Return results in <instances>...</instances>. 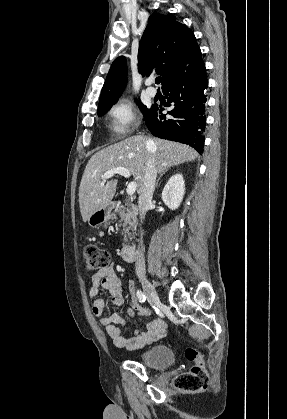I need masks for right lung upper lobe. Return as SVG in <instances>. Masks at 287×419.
Returning <instances> with one entry per match:
<instances>
[{
    "instance_id": "obj_1",
    "label": "right lung upper lobe",
    "mask_w": 287,
    "mask_h": 419,
    "mask_svg": "<svg viewBox=\"0 0 287 419\" xmlns=\"http://www.w3.org/2000/svg\"><path fill=\"white\" fill-rule=\"evenodd\" d=\"M139 70L149 76L153 70L162 76V87L205 68L193 32L171 15L153 14L139 43ZM124 56L114 60L102 88L99 108L116 103L127 83Z\"/></svg>"
}]
</instances>
